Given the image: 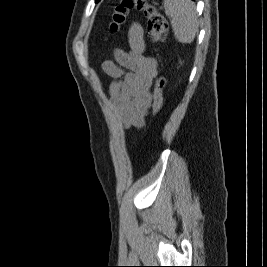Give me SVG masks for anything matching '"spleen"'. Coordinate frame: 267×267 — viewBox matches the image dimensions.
Returning <instances> with one entry per match:
<instances>
[{"label": "spleen", "mask_w": 267, "mask_h": 267, "mask_svg": "<svg viewBox=\"0 0 267 267\" xmlns=\"http://www.w3.org/2000/svg\"><path fill=\"white\" fill-rule=\"evenodd\" d=\"M163 5L175 38L180 43H191L198 32V19L193 1L163 0Z\"/></svg>", "instance_id": "3e777b00"}]
</instances>
